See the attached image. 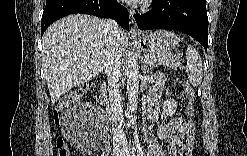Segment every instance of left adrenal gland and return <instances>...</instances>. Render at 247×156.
Here are the masks:
<instances>
[{"mask_svg":"<svg viewBox=\"0 0 247 156\" xmlns=\"http://www.w3.org/2000/svg\"><path fill=\"white\" fill-rule=\"evenodd\" d=\"M142 70H143L144 73H146V72L147 73H149V72L152 73V69L149 68L146 63H143Z\"/></svg>","mask_w":247,"mask_h":156,"instance_id":"1","label":"left adrenal gland"}]
</instances>
